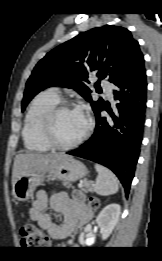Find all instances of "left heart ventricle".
I'll list each match as a JSON object with an SVG mask.
<instances>
[{
    "label": "left heart ventricle",
    "mask_w": 162,
    "mask_h": 261,
    "mask_svg": "<svg viewBox=\"0 0 162 261\" xmlns=\"http://www.w3.org/2000/svg\"><path fill=\"white\" fill-rule=\"evenodd\" d=\"M86 126V122L77 110L63 111L55 120L56 138L63 144L71 143L83 134Z\"/></svg>",
    "instance_id": "obj_1"
}]
</instances>
